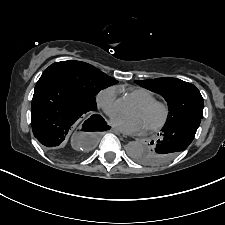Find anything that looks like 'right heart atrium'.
I'll list each match as a JSON object with an SVG mask.
<instances>
[{
  "mask_svg": "<svg viewBox=\"0 0 225 225\" xmlns=\"http://www.w3.org/2000/svg\"><path fill=\"white\" fill-rule=\"evenodd\" d=\"M97 106L108 116L117 112V89L107 87L100 90L96 96Z\"/></svg>",
  "mask_w": 225,
  "mask_h": 225,
  "instance_id": "d8ad5b80",
  "label": "right heart atrium"
}]
</instances>
